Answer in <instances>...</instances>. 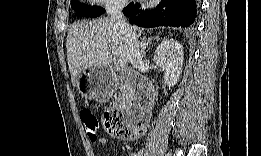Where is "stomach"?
I'll list each match as a JSON object with an SVG mask.
<instances>
[{"mask_svg":"<svg viewBox=\"0 0 261 156\" xmlns=\"http://www.w3.org/2000/svg\"><path fill=\"white\" fill-rule=\"evenodd\" d=\"M112 75L106 66L92 67L84 72L77 83V88L86 99H99L112 91Z\"/></svg>","mask_w":261,"mask_h":156,"instance_id":"obj_1","label":"stomach"}]
</instances>
